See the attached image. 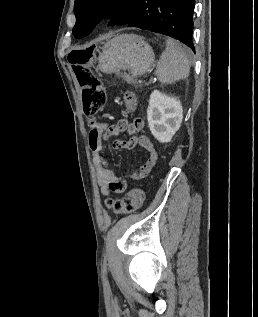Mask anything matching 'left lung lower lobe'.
<instances>
[{
    "label": "left lung lower lobe",
    "instance_id": "1",
    "mask_svg": "<svg viewBox=\"0 0 258 317\" xmlns=\"http://www.w3.org/2000/svg\"><path fill=\"white\" fill-rule=\"evenodd\" d=\"M194 6L195 0H138L127 26L170 36L195 52Z\"/></svg>",
    "mask_w": 258,
    "mask_h": 317
}]
</instances>
